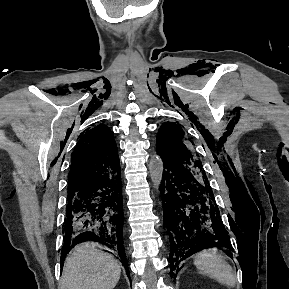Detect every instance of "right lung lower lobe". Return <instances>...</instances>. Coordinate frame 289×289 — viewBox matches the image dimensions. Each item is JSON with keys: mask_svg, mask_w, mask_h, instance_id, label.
Returning a JSON list of instances; mask_svg holds the SVG:
<instances>
[{"mask_svg": "<svg viewBox=\"0 0 289 289\" xmlns=\"http://www.w3.org/2000/svg\"><path fill=\"white\" fill-rule=\"evenodd\" d=\"M63 234L62 265L65 255L73 246L85 241H94L107 247L120 258L130 279L123 246L120 172L113 176H103L82 190L68 193Z\"/></svg>", "mask_w": 289, "mask_h": 289, "instance_id": "1", "label": "right lung lower lobe"}]
</instances>
